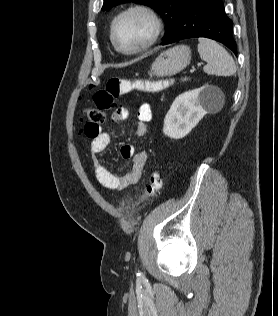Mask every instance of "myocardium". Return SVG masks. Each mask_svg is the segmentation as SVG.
Returning a JSON list of instances; mask_svg holds the SVG:
<instances>
[{
  "label": "myocardium",
  "mask_w": 278,
  "mask_h": 316,
  "mask_svg": "<svg viewBox=\"0 0 278 316\" xmlns=\"http://www.w3.org/2000/svg\"><path fill=\"white\" fill-rule=\"evenodd\" d=\"M132 14H141L144 17H146L151 24V32L148 38L144 42L139 44L138 46L132 49H124L121 46H119V44L116 41L115 29H116L117 23L121 19ZM162 29H163L162 20L157 14V12L149 5H146L143 3H137V4H133L124 8L113 18L110 25V39L114 48L118 52L125 55H135L150 48L160 37Z\"/></svg>",
  "instance_id": "f54148a6"
}]
</instances>
